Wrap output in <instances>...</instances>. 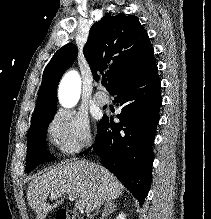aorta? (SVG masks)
Wrapping results in <instances>:
<instances>
[{"label":"aorta","instance_id":"1","mask_svg":"<svg viewBox=\"0 0 211 219\" xmlns=\"http://www.w3.org/2000/svg\"><path fill=\"white\" fill-rule=\"evenodd\" d=\"M81 90L80 76L76 71H69L63 77L59 87V101L67 108L76 104Z\"/></svg>","mask_w":211,"mask_h":219}]
</instances>
